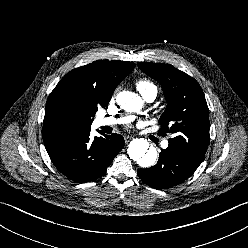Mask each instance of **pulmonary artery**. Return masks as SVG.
<instances>
[{
  "label": "pulmonary artery",
  "mask_w": 248,
  "mask_h": 248,
  "mask_svg": "<svg viewBox=\"0 0 248 248\" xmlns=\"http://www.w3.org/2000/svg\"><path fill=\"white\" fill-rule=\"evenodd\" d=\"M145 101L147 102H153L157 96V89L153 88L146 92L144 95H142ZM132 118L131 117H123V118H112V117H99L96 119V125L98 127L102 126H111V125H116L119 123H126L130 121ZM168 141H163L162 142V147L167 148L168 147Z\"/></svg>",
  "instance_id": "e3ab8cb5"
}]
</instances>
